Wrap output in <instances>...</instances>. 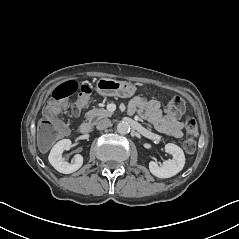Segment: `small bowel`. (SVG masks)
Masks as SVG:
<instances>
[{
	"instance_id": "c3829d8e",
	"label": "small bowel",
	"mask_w": 239,
	"mask_h": 239,
	"mask_svg": "<svg viewBox=\"0 0 239 239\" xmlns=\"http://www.w3.org/2000/svg\"><path fill=\"white\" fill-rule=\"evenodd\" d=\"M131 113H136L140 118L148 121L154 128L169 137H183L184 124L173 115H164L160 103L154 99L135 97L129 105ZM74 114H78L73 111Z\"/></svg>"
}]
</instances>
